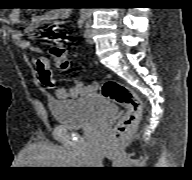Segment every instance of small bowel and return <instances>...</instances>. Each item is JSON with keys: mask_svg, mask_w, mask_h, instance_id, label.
<instances>
[{"mask_svg": "<svg viewBox=\"0 0 192 180\" xmlns=\"http://www.w3.org/2000/svg\"><path fill=\"white\" fill-rule=\"evenodd\" d=\"M69 9L56 8L52 9L37 18L39 22L57 23L66 19L69 16ZM10 20L13 24L19 25L21 23V16L18 10H14L10 15ZM11 36L13 41L22 48L30 46L29 42L25 39V36L20 31L12 30ZM37 72L40 82L49 88L53 89L55 96L58 99H70L76 98L87 93H91L95 90V87H87L81 81H77L76 85L70 89H65L56 85L55 76L51 70L50 64L47 59H38L36 62Z\"/></svg>", "mask_w": 192, "mask_h": 180, "instance_id": "1", "label": "small bowel"}]
</instances>
